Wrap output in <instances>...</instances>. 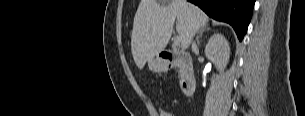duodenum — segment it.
Segmentation results:
<instances>
[{
  "mask_svg": "<svg viewBox=\"0 0 305 116\" xmlns=\"http://www.w3.org/2000/svg\"><path fill=\"white\" fill-rule=\"evenodd\" d=\"M161 59L166 63L167 67L179 65L181 68V88L185 96L190 97L196 85L195 72L192 59L184 53H176L172 51H164L161 54Z\"/></svg>",
  "mask_w": 305,
  "mask_h": 116,
  "instance_id": "410a0bca",
  "label": "duodenum"
}]
</instances>
